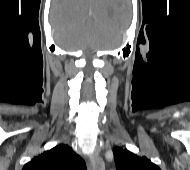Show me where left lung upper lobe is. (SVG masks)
<instances>
[{
	"label": "left lung upper lobe",
	"instance_id": "1",
	"mask_svg": "<svg viewBox=\"0 0 190 170\" xmlns=\"http://www.w3.org/2000/svg\"><path fill=\"white\" fill-rule=\"evenodd\" d=\"M114 159L117 170H160L146 157H140L127 149L114 148Z\"/></svg>",
	"mask_w": 190,
	"mask_h": 170
}]
</instances>
